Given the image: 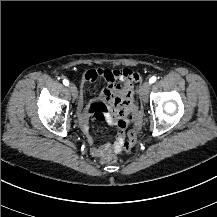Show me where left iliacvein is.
<instances>
[{
  "label": "left iliac vein",
  "mask_w": 217,
  "mask_h": 217,
  "mask_svg": "<svg viewBox=\"0 0 217 217\" xmlns=\"http://www.w3.org/2000/svg\"><path fill=\"white\" fill-rule=\"evenodd\" d=\"M151 84L149 82H144L140 87V98L143 102L148 101V95L150 91Z\"/></svg>",
  "instance_id": "left-iliac-vein-1"
}]
</instances>
